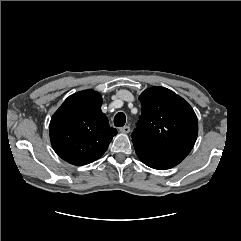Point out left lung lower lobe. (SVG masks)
I'll list each match as a JSON object with an SVG mask.
<instances>
[{
    "label": "left lung lower lobe",
    "mask_w": 241,
    "mask_h": 241,
    "mask_svg": "<svg viewBox=\"0 0 241 241\" xmlns=\"http://www.w3.org/2000/svg\"><path fill=\"white\" fill-rule=\"evenodd\" d=\"M135 151L139 159L147 166L166 170L179 164L187 155L181 153H166L152 151L134 144Z\"/></svg>",
    "instance_id": "obj_1"
}]
</instances>
